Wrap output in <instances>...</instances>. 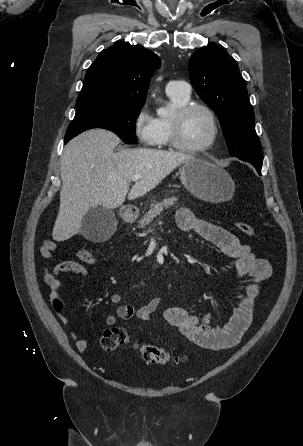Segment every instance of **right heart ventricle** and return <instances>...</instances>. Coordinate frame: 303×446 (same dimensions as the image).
<instances>
[{"mask_svg":"<svg viewBox=\"0 0 303 446\" xmlns=\"http://www.w3.org/2000/svg\"><path fill=\"white\" fill-rule=\"evenodd\" d=\"M171 106L176 110L190 101V96H184L178 93H167ZM170 118L160 116L156 118L157 136L154 145L160 148L170 145Z\"/></svg>","mask_w":303,"mask_h":446,"instance_id":"1","label":"right heart ventricle"}]
</instances>
